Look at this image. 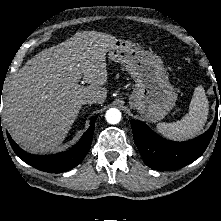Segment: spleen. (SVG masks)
I'll list each match as a JSON object with an SVG mask.
<instances>
[{"mask_svg":"<svg viewBox=\"0 0 221 221\" xmlns=\"http://www.w3.org/2000/svg\"><path fill=\"white\" fill-rule=\"evenodd\" d=\"M209 113L208 100L204 88H195L189 105V112L179 121L173 123H158L157 130L163 136L172 140H188L198 135L207 121Z\"/></svg>","mask_w":221,"mask_h":221,"instance_id":"1","label":"spleen"}]
</instances>
